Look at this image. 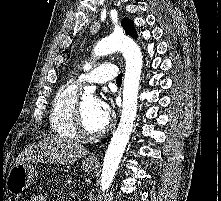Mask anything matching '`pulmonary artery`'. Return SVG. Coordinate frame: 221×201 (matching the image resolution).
Returning a JSON list of instances; mask_svg holds the SVG:
<instances>
[{"label": "pulmonary artery", "mask_w": 221, "mask_h": 201, "mask_svg": "<svg viewBox=\"0 0 221 201\" xmlns=\"http://www.w3.org/2000/svg\"><path fill=\"white\" fill-rule=\"evenodd\" d=\"M118 76V69L114 64L111 63H104L91 72L87 74H82L78 77V83H105L110 80L116 79Z\"/></svg>", "instance_id": "e3ab8cb5"}]
</instances>
